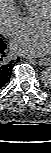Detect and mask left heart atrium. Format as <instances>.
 <instances>
[{
    "mask_svg": "<svg viewBox=\"0 0 51 153\" xmlns=\"http://www.w3.org/2000/svg\"><path fill=\"white\" fill-rule=\"evenodd\" d=\"M13 51L27 56H43L51 49V35L45 29L24 33L11 43Z\"/></svg>",
    "mask_w": 51,
    "mask_h": 153,
    "instance_id": "39dd6f15",
    "label": "left heart atrium"
}]
</instances>
